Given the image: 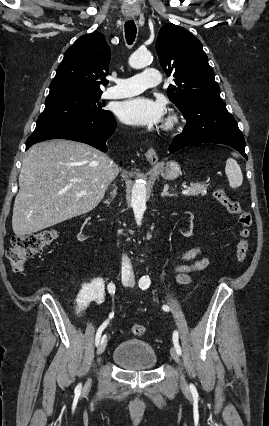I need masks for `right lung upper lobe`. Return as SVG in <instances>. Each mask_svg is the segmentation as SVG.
I'll use <instances>...</instances> for the list:
<instances>
[{"mask_svg": "<svg viewBox=\"0 0 269 426\" xmlns=\"http://www.w3.org/2000/svg\"><path fill=\"white\" fill-rule=\"evenodd\" d=\"M110 62V48L102 33L95 32L78 38L68 48L50 84V92L85 90L102 92Z\"/></svg>", "mask_w": 269, "mask_h": 426, "instance_id": "right-lung-upper-lobe-1", "label": "right lung upper lobe"}]
</instances>
